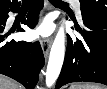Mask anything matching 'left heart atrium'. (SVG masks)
Wrapping results in <instances>:
<instances>
[{"instance_id": "left-heart-atrium-1", "label": "left heart atrium", "mask_w": 107, "mask_h": 89, "mask_svg": "<svg viewBox=\"0 0 107 89\" xmlns=\"http://www.w3.org/2000/svg\"><path fill=\"white\" fill-rule=\"evenodd\" d=\"M53 30V26L49 21L43 22L35 31L36 36L46 37Z\"/></svg>"}]
</instances>
